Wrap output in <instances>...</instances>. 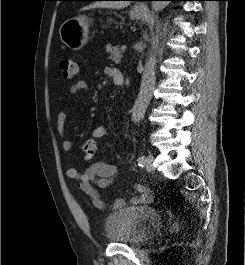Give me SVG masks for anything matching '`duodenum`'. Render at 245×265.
Segmentation results:
<instances>
[{
  "instance_id": "410a0bca",
  "label": "duodenum",
  "mask_w": 245,
  "mask_h": 265,
  "mask_svg": "<svg viewBox=\"0 0 245 265\" xmlns=\"http://www.w3.org/2000/svg\"><path fill=\"white\" fill-rule=\"evenodd\" d=\"M124 82H125V79L123 78V79H116L115 81H114V83L116 84V85H118V86H122V85H124Z\"/></svg>"
}]
</instances>
